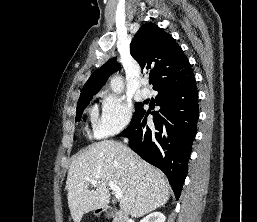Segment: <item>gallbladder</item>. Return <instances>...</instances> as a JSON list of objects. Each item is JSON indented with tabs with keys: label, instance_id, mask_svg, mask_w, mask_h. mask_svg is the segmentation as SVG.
<instances>
[{
	"label": "gallbladder",
	"instance_id": "bac80fb5",
	"mask_svg": "<svg viewBox=\"0 0 257 222\" xmlns=\"http://www.w3.org/2000/svg\"><path fill=\"white\" fill-rule=\"evenodd\" d=\"M112 215H113V212H112V211H108V212H106V214H105L106 218H110Z\"/></svg>",
	"mask_w": 257,
	"mask_h": 222
}]
</instances>
